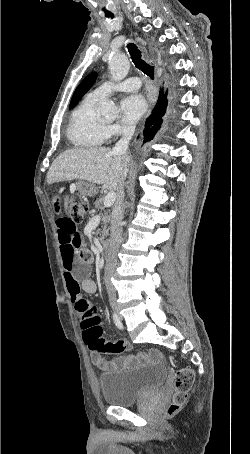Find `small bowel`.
<instances>
[{
    "instance_id": "obj_1",
    "label": "small bowel",
    "mask_w": 250,
    "mask_h": 454,
    "mask_svg": "<svg viewBox=\"0 0 250 454\" xmlns=\"http://www.w3.org/2000/svg\"><path fill=\"white\" fill-rule=\"evenodd\" d=\"M60 202L61 196L57 195L54 201L55 206L58 207ZM56 226L64 278L74 308L81 319L88 312L96 313L95 307L84 296L95 293L97 289L95 281L90 277L92 253L84 246L76 224L69 217H59ZM149 357L153 360H160V355L156 351H151ZM91 359L101 370H108L115 365V362L105 359L97 352L92 351ZM124 362L131 364L134 359L129 356L124 359Z\"/></svg>"
}]
</instances>
